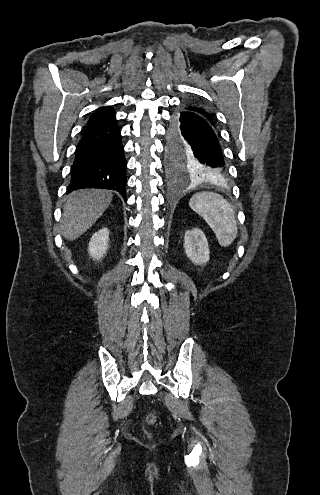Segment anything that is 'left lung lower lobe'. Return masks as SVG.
<instances>
[{"mask_svg":"<svg viewBox=\"0 0 320 495\" xmlns=\"http://www.w3.org/2000/svg\"><path fill=\"white\" fill-rule=\"evenodd\" d=\"M176 121L183 136L198 149L202 162L210 171V177L225 175L228 167L214 122L187 109L172 116L170 130Z\"/></svg>","mask_w":320,"mask_h":495,"instance_id":"left-lung-lower-lobe-1","label":"left lung lower lobe"}]
</instances>
